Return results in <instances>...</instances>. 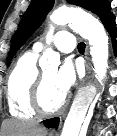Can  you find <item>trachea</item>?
Returning <instances> with one entry per match:
<instances>
[{
  "label": "trachea",
  "instance_id": "1",
  "mask_svg": "<svg viewBox=\"0 0 117 136\" xmlns=\"http://www.w3.org/2000/svg\"><path fill=\"white\" fill-rule=\"evenodd\" d=\"M77 48H78V51H79V52H84V51H85V43L80 42V43L78 44Z\"/></svg>",
  "mask_w": 117,
  "mask_h": 136
}]
</instances>
